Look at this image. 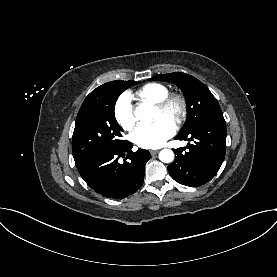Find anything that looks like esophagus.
Returning a JSON list of instances; mask_svg holds the SVG:
<instances>
[{"label": "esophagus", "instance_id": "1", "mask_svg": "<svg viewBox=\"0 0 277 277\" xmlns=\"http://www.w3.org/2000/svg\"><path fill=\"white\" fill-rule=\"evenodd\" d=\"M159 152V150H150L151 155H155Z\"/></svg>", "mask_w": 277, "mask_h": 277}]
</instances>
